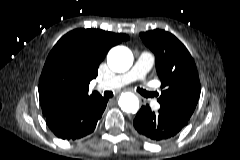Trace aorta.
Returning <instances> with one entry per match:
<instances>
[{"label": "aorta", "mask_w": 240, "mask_h": 160, "mask_svg": "<svg viewBox=\"0 0 240 160\" xmlns=\"http://www.w3.org/2000/svg\"><path fill=\"white\" fill-rule=\"evenodd\" d=\"M107 64L114 72H126L133 64V54L127 47L116 46L109 51ZM118 103L120 108L127 113H136L139 109L137 96L130 92L123 93Z\"/></svg>", "instance_id": "obj_1"}]
</instances>
